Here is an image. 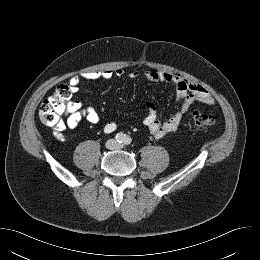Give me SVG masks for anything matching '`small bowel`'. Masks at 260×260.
Wrapping results in <instances>:
<instances>
[{
	"label": "small bowel",
	"instance_id": "obj_1",
	"mask_svg": "<svg viewBox=\"0 0 260 260\" xmlns=\"http://www.w3.org/2000/svg\"><path fill=\"white\" fill-rule=\"evenodd\" d=\"M124 76V70L117 69H103L83 72L70 77L69 84L72 90H77L83 81L109 80L113 77ZM129 77L137 79L140 73L133 70L129 73ZM144 77L151 82H164L171 84L175 88L176 100L180 102V108L169 119L160 121L153 103L146 104V116L144 118V125L150 133L157 139L166 137L167 135L176 132L182 125L184 115L195 103L199 102L206 105L215 103L214 96L201 84L190 81L184 77L165 72L147 70L144 72ZM87 120L92 124L99 122V114L93 107H83L79 101H71L67 110L65 125L70 128H76L82 120ZM61 124L57 129V136L63 138L62 131L65 127ZM117 123L113 121L107 122L103 131L105 133H112L116 130Z\"/></svg>",
	"mask_w": 260,
	"mask_h": 260
}]
</instances>
